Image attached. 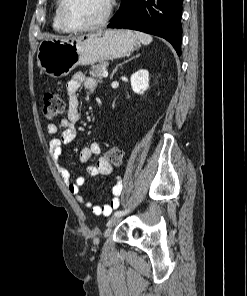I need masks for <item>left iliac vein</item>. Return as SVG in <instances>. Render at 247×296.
Returning <instances> with one entry per match:
<instances>
[{"mask_svg":"<svg viewBox=\"0 0 247 296\" xmlns=\"http://www.w3.org/2000/svg\"><path fill=\"white\" fill-rule=\"evenodd\" d=\"M122 219V215L121 216H113L112 218L109 219L107 225L108 227H113L115 225H117Z\"/></svg>","mask_w":247,"mask_h":296,"instance_id":"4c4485c4","label":"left iliac vein"}]
</instances>
